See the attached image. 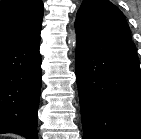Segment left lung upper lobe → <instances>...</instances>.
Wrapping results in <instances>:
<instances>
[{"label": "left lung upper lobe", "instance_id": "5c2ea615", "mask_svg": "<svg viewBox=\"0 0 141 139\" xmlns=\"http://www.w3.org/2000/svg\"><path fill=\"white\" fill-rule=\"evenodd\" d=\"M75 23L107 36L131 40L123 13L109 0H83Z\"/></svg>", "mask_w": 141, "mask_h": 139}]
</instances>
